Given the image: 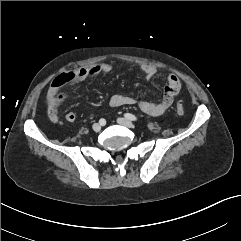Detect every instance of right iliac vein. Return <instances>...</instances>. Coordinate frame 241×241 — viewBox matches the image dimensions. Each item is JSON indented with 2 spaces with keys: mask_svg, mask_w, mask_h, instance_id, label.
Wrapping results in <instances>:
<instances>
[{
  "mask_svg": "<svg viewBox=\"0 0 241 241\" xmlns=\"http://www.w3.org/2000/svg\"><path fill=\"white\" fill-rule=\"evenodd\" d=\"M92 128L95 132H99L101 130V124L95 123L93 124Z\"/></svg>",
  "mask_w": 241,
  "mask_h": 241,
  "instance_id": "obj_1",
  "label": "right iliac vein"
}]
</instances>
